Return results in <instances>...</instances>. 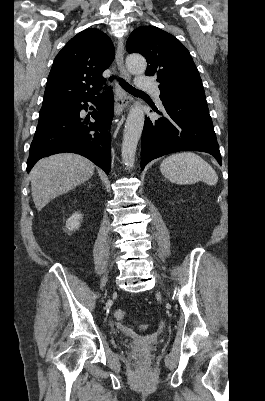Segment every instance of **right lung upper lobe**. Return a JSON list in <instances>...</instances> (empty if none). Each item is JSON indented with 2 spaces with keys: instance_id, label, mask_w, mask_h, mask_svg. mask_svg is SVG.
I'll use <instances>...</instances> for the list:
<instances>
[{
  "instance_id": "right-lung-upper-lobe-1",
  "label": "right lung upper lobe",
  "mask_w": 265,
  "mask_h": 401,
  "mask_svg": "<svg viewBox=\"0 0 265 401\" xmlns=\"http://www.w3.org/2000/svg\"><path fill=\"white\" fill-rule=\"evenodd\" d=\"M114 55L110 38L100 30L90 28L77 34L55 57L42 106L94 96Z\"/></svg>"
}]
</instances>
